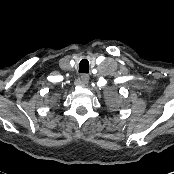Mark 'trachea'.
<instances>
[{"label": "trachea", "instance_id": "1", "mask_svg": "<svg viewBox=\"0 0 174 174\" xmlns=\"http://www.w3.org/2000/svg\"><path fill=\"white\" fill-rule=\"evenodd\" d=\"M79 72L80 73H88L89 72V62L86 59L80 61L79 64Z\"/></svg>", "mask_w": 174, "mask_h": 174}]
</instances>
